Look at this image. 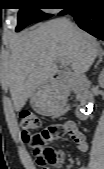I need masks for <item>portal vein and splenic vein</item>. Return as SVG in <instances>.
I'll return each instance as SVG.
<instances>
[{
    "label": "portal vein and splenic vein",
    "mask_w": 104,
    "mask_h": 169,
    "mask_svg": "<svg viewBox=\"0 0 104 169\" xmlns=\"http://www.w3.org/2000/svg\"><path fill=\"white\" fill-rule=\"evenodd\" d=\"M58 61H60V63L63 65V66H66L69 64V62L66 60V59H63V58H59Z\"/></svg>",
    "instance_id": "portal-vein-and-splenic-vein-1"
}]
</instances>
